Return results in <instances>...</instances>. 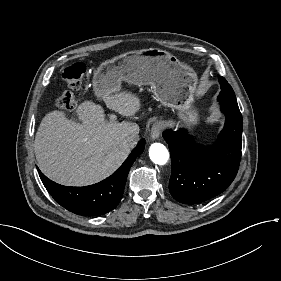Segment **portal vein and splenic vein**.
Listing matches in <instances>:
<instances>
[{
  "label": "portal vein and splenic vein",
  "mask_w": 281,
  "mask_h": 281,
  "mask_svg": "<svg viewBox=\"0 0 281 281\" xmlns=\"http://www.w3.org/2000/svg\"><path fill=\"white\" fill-rule=\"evenodd\" d=\"M110 119H111V120H114V119H115V116H111Z\"/></svg>",
  "instance_id": "1"
}]
</instances>
